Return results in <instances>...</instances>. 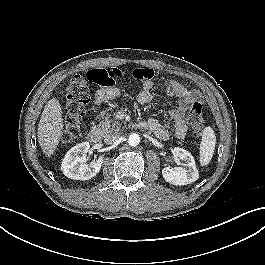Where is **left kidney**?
I'll list each match as a JSON object with an SVG mask.
<instances>
[{
    "label": "left kidney",
    "instance_id": "5707ae66",
    "mask_svg": "<svg viewBox=\"0 0 265 265\" xmlns=\"http://www.w3.org/2000/svg\"><path fill=\"white\" fill-rule=\"evenodd\" d=\"M176 157L183 160L188 168L183 167H165L162 169V175L166 182L173 185H187L195 182L198 177L194 157L187 150L176 147L173 150Z\"/></svg>",
    "mask_w": 265,
    "mask_h": 265
}]
</instances>
